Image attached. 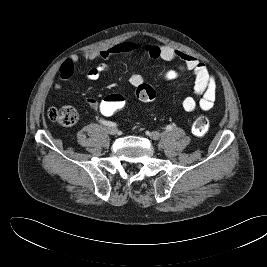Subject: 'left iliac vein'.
Wrapping results in <instances>:
<instances>
[{
  "label": "left iliac vein",
  "instance_id": "obj_1",
  "mask_svg": "<svg viewBox=\"0 0 267 267\" xmlns=\"http://www.w3.org/2000/svg\"><path fill=\"white\" fill-rule=\"evenodd\" d=\"M149 137L153 140H158L161 137V134L157 131H153L149 133Z\"/></svg>",
  "mask_w": 267,
  "mask_h": 267
}]
</instances>
